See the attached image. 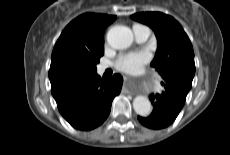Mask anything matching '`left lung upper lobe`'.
I'll return each mask as SVG.
<instances>
[{"instance_id": "left-lung-upper-lobe-1", "label": "left lung upper lobe", "mask_w": 230, "mask_h": 155, "mask_svg": "<svg viewBox=\"0 0 230 155\" xmlns=\"http://www.w3.org/2000/svg\"><path fill=\"white\" fill-rule=\"evenodd\" d=\"M131 18L150 26L155 32L158 47L151 66L164 80L180 81L191 88L195 75L194 52L182 26L161 12L136 13Z\"/></svg>"}]
</instances>
